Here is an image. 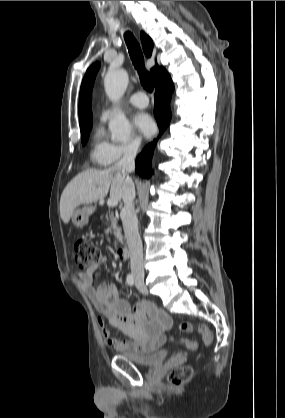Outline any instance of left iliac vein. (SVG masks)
<instances>
[{
	"label": "left iliac vein",
	"mask_w": 285,
	"mask_h": 418,
	"mask_svg": "<svg viewBox=\"0 0 285 418\" xmlns=\"http://www.w3.org/2000/svg\"><path fill=\"white\" fill-rule=\"evenodd\" d=\"M136 287L138 289L139 292L143 293V294H147L148 290L144 284V281L141 280H136Z\"/></svg>",
	"instance_id": "left-iliac-vein-1"
}]
</instances>
